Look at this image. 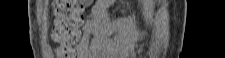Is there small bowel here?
I'll list each match as a JSON object with an SVG mask.
<instances>
[{
  "label": "small bowel",
  "instance_id": "c3829d8e",
  "mask_svg": "<svg viewBox=\"0 0 225 58\" xmlns=\"http://www.w3.org/2000/svg\"><path fill=\"white\" fill-rule=\"evenodd\" d=\"M114 2L115 0L96 1L83 25L81 40L75 46L77 58L123 54V48L110 39L123 23L122 19H113L107 14V9Z\"/></svg>",
  "mask_w": 225,
  "mask_h": 58
}]
</instances>
